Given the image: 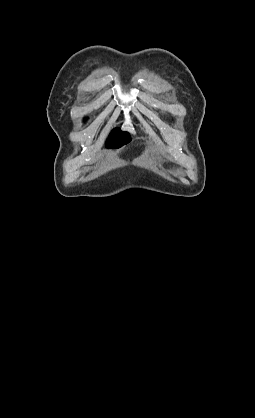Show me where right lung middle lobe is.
<instances>
[{
  "mask_svg": "<svg viewBox=\"0 0 255 418\" xmlns=\"http://www.w3.org/2000/svg\"><path fill=\"white\" fill-rule=\"evenodd\" d=\"M131 141L127 132H122L120 129H114L108 139V146L110 148H119Z\"/></svg>",
  "mask_w": 255,
  "mask_h": 418,
  "instance_id": "dd1d6c3e",
  "label": "right lung middle lobe"
}]
</instances>
